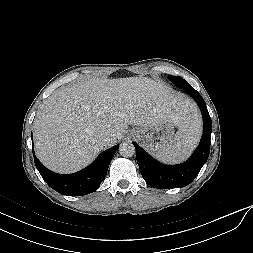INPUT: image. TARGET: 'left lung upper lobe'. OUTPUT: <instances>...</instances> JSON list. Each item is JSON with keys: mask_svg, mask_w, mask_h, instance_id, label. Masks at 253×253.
Wrapping results in <instances>:
<instances>
[{"mask_svg": "<svg viewBox=\"0 0 253 253\" xmlns=\"http://www.w3.org/2000/svg\"><path fill=\"white\" fill-rule=\"evenodd\" d=\"M170 80H172L173 83L176 84V86L180 87V88H184L186 89L187 87H189L190 85L188 84L187 81H185L183 78L178 77V76H169L168 77Z\"/></svg>", "mask_w": 253, "mask_h": 253, "instance_id": "1", "label": "left lung upper lobe"}]
</instances>
